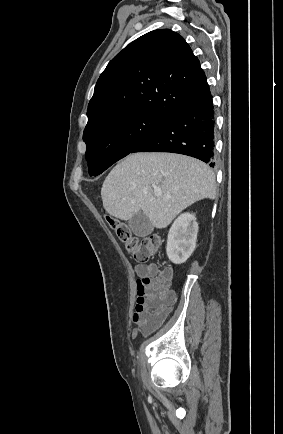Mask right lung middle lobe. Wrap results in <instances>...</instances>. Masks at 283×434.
I'll use <instances>...</instances> for the list:
<instances>
[{
    "label": "right lung middle lobe",
    "instance_id": "obj_1",
    "mask_svg": "<svg viewBox=\"0 0 283 434\" xmlns=\"http://www.w3.org/2000/svg\"><path fill=\"white\" fill-rule=\"evenodd\" d=\"M170 117L137 111L107 119L84 130L86 160L90 175H99L125 157L160 128Z\"/></svg>",
    "mask_w": 283,
    "mask_h": 434
}]
</instances>
